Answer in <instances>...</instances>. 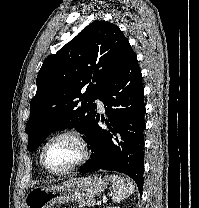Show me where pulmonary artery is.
<instances>
[{
    "instance_id": "1",
    "label": "pulmonary artery",
    "mask_w": 199,
    "mask_h": 208,
    "mask_svg": "<svg viewBox=\"0 0 199 208\" xmlns=\"http://www.w3.org/2000/svg\"><path fill=\"white\" fill-rule=\"evenodd\" d=\"M96 103H97L99 111H104V104L100 97L96 99Z\"/></svg>"
}]
</instances>
